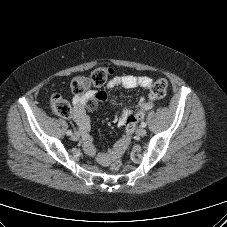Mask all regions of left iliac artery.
Wrapping results in <instances>:
<instances>
[{
    "label": "left iliac artery",
    "mask_w": 227,
    "mask_h": 227,
    "mask_svg": "<svg viewBox=\"0 0 227 227\" xmlns=\"http://www.w3.org/2000/svg\"><path fill=\"white\" fill-rule=\"evenodd\" d=\"M141 126H142V127H146V123H145V122H142V123H141Z\"/></svg>",
    "instance_id": "obj_1"
}]
</instances>
